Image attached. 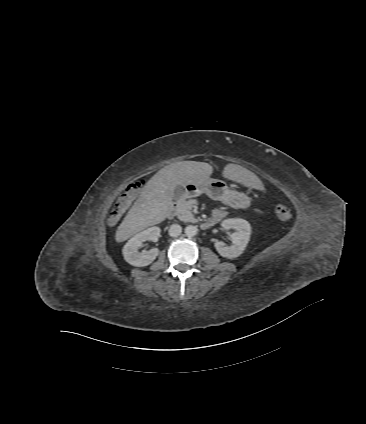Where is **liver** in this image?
Listing matches in <instances>:
<instances>
[{
	"label": "liver",
	"instance_id": "obj_1",
	"mask_svg": "<svg viewBox=\"0 0 366 424\" xmlns=\"http://www.w3.org/2000/svg\"><path fill=\"white\" fill-rule=\"evenodd\" d=\"M213 167L204 162L181 161L169 164L159 170L144 186L139 198L119 225L116 242H123L138 232L159 224L169 215L173 207L174 190L186 183H199L210 177ZM224 178L244 186L261 190L262 181L248 169L227 164Z\"/></svg>",
	"mask_w": 366,
	"mask_h": 424
}]
</instances>
